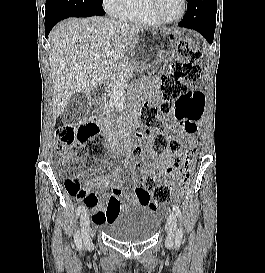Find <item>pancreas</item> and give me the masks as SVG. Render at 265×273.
<instances>
[{"instance_id":"1","label":"pancreas","mask_w":265,"mask_h":273,"mask_svg":"<svg viewBox=\"0 0 265 273\" xmlns=\"http://www.w3.org/2000/svg\"><path fill=\"white\" fill-rule=\"evenodd\" d=\"M135 72V63L132 60L121 61L115 68L108 89V102L106 109H109L110 103L114 99L115 87L119 83H125Z\"/></svg>"}]
</instances>
